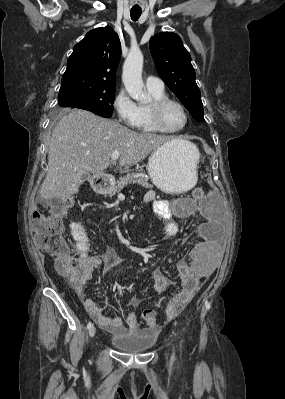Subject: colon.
Here are the masks:
<instances>
[{"label": "colon", "mask_w": 285, "mask_h": 399, "mask_svg": "<svg viewBox=\"0 0 285 399\" xmlns=\"http://www.w3.org/2000/svg\"><path fill=\"white\" fill-rule=\"evenodd\" d=\"M205 195L201 187L193 188L192 196L195 199H201ZM73 207L70 200L61 201L58 204L60 211H66ZM29 229L34 237L36 244L41 251L55 257L59 270L68 276L78 277L79 271L75 266V255L70 251L64 242L62 231L63 224L57 213L46 215L40 211L35 212L29 221ZM83 234L82 229L80 230ZM80 250L83 255L87 254L88 246L84 239H81ZM181 308L177 304H168L166 315L174 318L180 312ZM142 322L148 327L158 326L157 313L153 309H146L142 312Z\"/></svg>", "instance_id": "5ec220e1"}]
</instances>
